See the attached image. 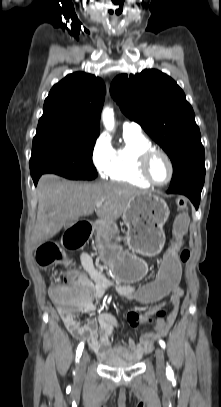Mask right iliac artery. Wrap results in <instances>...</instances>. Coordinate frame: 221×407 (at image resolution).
Here are the masks:
<instances>
[{
  "mask_svg": "<svg viewBox=\"0 0 221 407\" xmlns=\"http://www.w3.org/2000/svg\"><path fill=\"white\" fill-rule=\"evenodd\" d=\"M84 348V342H81L78 347H77V351H76V362H79V358L82 354Z\"/></svg>",
  "mask_w": 221,
  "mask_h": 407,
  "instance_id": "82829eb1",
  "label": "right iliac artery"
}]
</instances>
